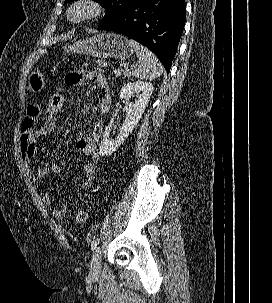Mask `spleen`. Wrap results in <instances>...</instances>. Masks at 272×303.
Instances as JSON below:
<instances>
[{
	"mask_svg": "<svg viewBox=\"0 0 272 303\" xmlns=\"http://www.w3.org/2000/svg\"><path fill=\"white\" fill-rule=\"evenodd\" d=\"M129 43L136 51L139 58L138 66L132 72L133 76L145 80H153L156 77H159L164 69L158 58L136 41L130 39Z\"/></svg>",
	"mask_w": 272,
	"mask_h": 303,
	"instance_id": "3e777b00",
	"label": "spleen"
}]
</instances>
